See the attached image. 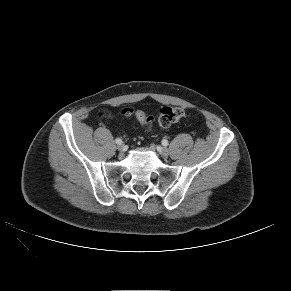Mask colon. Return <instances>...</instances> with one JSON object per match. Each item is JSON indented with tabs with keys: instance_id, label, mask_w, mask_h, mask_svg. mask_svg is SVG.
Here are the masks:
<instances>
[{
	"instance_id": "5ec220e1",
	"label": "colon",
	"mask_w": 291,
	"mask_h": 291,
	"mask_svg": "<svg viewBox=\"0 0 291 291\" xmlns=\"http://www.w3.org/2000/svg\"><path fill=\"white\" fill-rule=\"evenodd\" d=\"M121 113L124 116H134L145 129H151L154 123V118L147 115L144 111L134 107L123 108ZM102 117H109L108 112L100 114ZM185 115V110L181 107H163L158 116V124L161 127H169L173 123L179 121Z\"/></svg>"
}]
</instances>
